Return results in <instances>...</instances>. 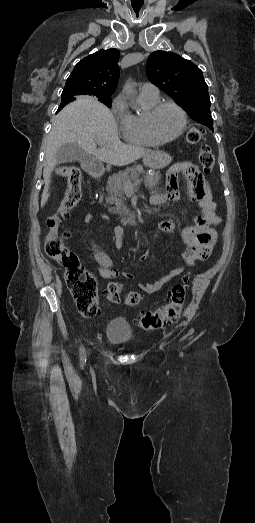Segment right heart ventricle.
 Here are the masks:
<instances>
[{"label": "right heart ventricle", "instance_id": "obj_1", "mask_svg": "<svg viewBox=\"0 0 255 523\" xmlns=\"http://www.w3.org/2000/svg\"><path fill=\"white\" fill-rule=\"evenodd\" d=\"M159 100V95L152 96L140 93V101L147 111ZM146 113L139 114L138 112L135 113L129 109H124L122 115L118 117L121 135L127 143L135 146H151L156 143L145 129L144 117Z\"/></svg>", "mask_w": 255, "mask_h": 523}]
</instances>
